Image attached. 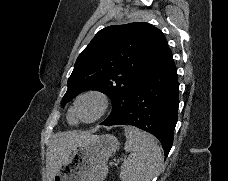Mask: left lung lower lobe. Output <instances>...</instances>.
Returning <instances> with one entry per match:
<instances>
[{
	"instance_id": "1",
	"label": "left lung lower lobe",
	"mask_w": 228,
	"mask_h": 181,
	"mask_svg": "<svg viewBox=\"0 0 228 181\" xmlns=\"http://www.w3.org/2000/svg\"><path fill=\"white\" fill-rule=\"evenodd\" d=\"M178 92L177 69L172 52L167 48L139 77L125 115L106 126L132 125L153 134L161 142L166 158L173 144Z\"/></svg>"
}]
</instances>
